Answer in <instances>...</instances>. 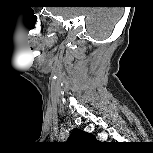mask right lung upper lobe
Wrapping results in <instances>:
<instances>
[{
	"instance_id": "obj_1",
	"label": "right lung upper lobe",
	"mask_w": 153,
	"mask_h": 153,
	"mask_svg": "<svg viewBox=\"0 0 153 153\" xmlns=\"http://www.w3.org/2000/svg\"><path fill=\"white\" fill-rule=\"evenodd\" d=\"M68 141L80 144H88L96 142V139L90 133H87L85 131L76 128L72 131Z\"/></svg>"
}]
</instances>
